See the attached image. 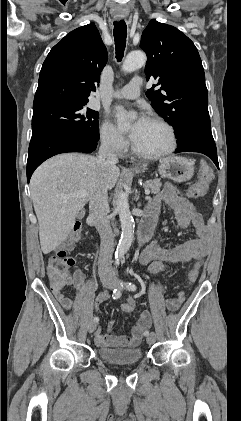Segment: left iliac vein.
Segmentation results:
<instances>
[{
	"mask_svg": "<svg viewBox=\"0 0 241 421\" xmlns=\"http://www.w3.org/2000/svg\"><path fill=\"white\" fill-rule=\"evenodd\" d=\"M113 283H114V287H116L118 289H123V285H122V283L119 280L116 279V280L113 281ZM146 340H147V343L148 344H153L155 342V340H156L155 333L154 332H151L147 336Z\"/></svg>",
	"mask_w": 241,
	"mask_h": 421,
	"instance_id": "1",
	"label": "left iliac vein"
}]
</instances>
